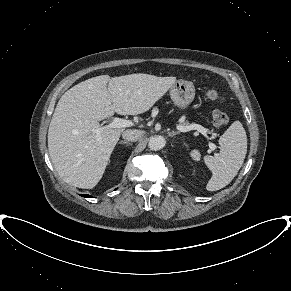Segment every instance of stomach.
<instances>
[{
  "label": "stomach",
  "instance_id": "obj_1",
  "mask_svg": "<svg viewBox=\"0 0 291 291\" xmlns=\"http://www.w3.org/2000/svg\"><path fill=\"white\" fill-rule=\"evenodd\" d=\"M170 97L184 111L195 97V87L190 81L178 80L170 88Z\"/></svg>",
  "mask_w": 291,
  "mask_h": 291
}]
</instances>
